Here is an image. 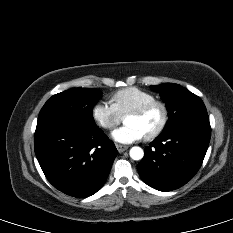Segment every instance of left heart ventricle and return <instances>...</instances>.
<instances>
[{
  "mask_svg": "<svg viewBox=\"0 0 233 233\" xmlns=\"http://www.w3.org/2000/svg\"><path fill=\"white\" fill-rule=\"evenodd\" d=\"M161 118V109L159 107H153L141 116L125 117V123L136 125L144 133V135H147L158 127Z\"/></svg>",
  "mask_w": 233,
  "mask_h": 233,
  "instance_id": "left-heart-ventricle-1",
  "label": "left heart ventricle"
}]
</instances>
